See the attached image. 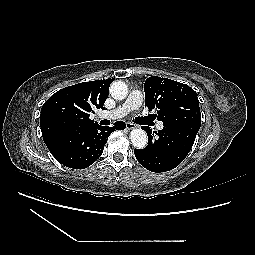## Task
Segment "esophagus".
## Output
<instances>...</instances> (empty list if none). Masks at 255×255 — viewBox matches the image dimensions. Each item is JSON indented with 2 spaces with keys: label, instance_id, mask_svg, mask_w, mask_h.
I'll return each instance as SVG.
<instances>
[{
  "label": "esophagus",
  "instance_id": "obj_1",
  "mask_svg": "<svg viewBox=\"0 0 255 255\" xmlns=\"http://www.w3.org/2000/svg\"><path fill=\"white\" fill-rule=\"evenodd\" d=\"M135 127H136V125L134 123L126 122V128L128 130L134 129Z\"/></svg>",
  "mask_w": 255,
  "mask_h": 255
}]
</instances>
